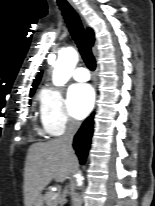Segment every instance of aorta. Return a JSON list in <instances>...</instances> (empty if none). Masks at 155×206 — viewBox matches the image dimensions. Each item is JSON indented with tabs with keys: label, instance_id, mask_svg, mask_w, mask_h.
Returning <instances> with one entry per match:
<instances>
[{
	"label": "aorta",
	"instance_id": "1",
	"mask_svg": "<svg viewBox=\"0 0 155 206\" xmlns=\"http://www.w3.org/2000/svg\"><path fill=\"white\" fill-rule=\"evenodd\" d=\"M78 61V54L72 47L60 51L58 60L54 65L53 83L56 86H63L71 77ZM80 181V178H79Z\"/></svg>",
	"mask_w": 155,
	"mask_h": 206
}]
</instances>
